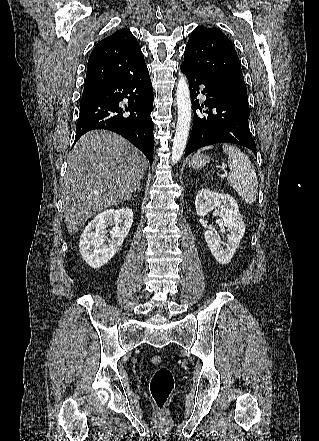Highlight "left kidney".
<instances>
[{
    "label": "left kidney",
    "mask_w": 319,
    "mask_h": 441,
    "mask_svg": "<svg viewBox=\"0 0 319 441\" xmlns=\"http://www.w3.org/2000/svg\"><path fill=\"white\" fill-rule=\"evenodd\" d=\"M195 207L199 216H205L213 209L219 211L221 219L218 224L221 231L226 233L227 242L221 241L217 233L211 229L205 231L204 237L215 259L223 265L229 263L245 233L237 202L228 194L202 189L196 196ZM221 244L225 245V248L221 247Z\"/></svg>",
    "instance_id": "left-kidney-1"
}]
</instances>
